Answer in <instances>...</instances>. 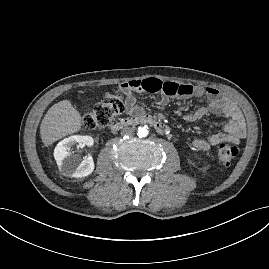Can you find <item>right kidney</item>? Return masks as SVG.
<instances>
[{
	"label": "right kidney",
	"instance_id": "ca27d5eb",
	"mask_svg": "<svg viewBox=\"0 0 269 269\" xmlns=\"http://www.w3.org/2000/svg\"><path fill=\"white\" fill-rule=\"evenodd\" d=\"M93 138L90 136L74 135L70 136L57 144L54 149V157L60 171L69 177L81 178L91 174L94 170V161L92 156L86 157L84 160L70 152L71 147L76 144L83 147L85 145L92 146Z\"/></svg>",
	"mask_w": 269,
	"mask_h": 269
}]
</instances>
